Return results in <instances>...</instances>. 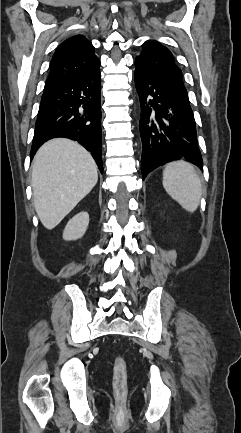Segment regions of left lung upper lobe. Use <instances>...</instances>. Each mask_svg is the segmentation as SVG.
Segmentation results:
<instances>
[{
	"label": "left lung upper lobe",
	"instance_id": "1",
	"mask_svg": "<svg viewBox=\"0 0 241 433\" xmlns=\"http://www.w3.org/2000/svg\"><path fill=\"white\" fill-rule=\"evenodd\" d=\"M135 66L136 71L163 82L191 109L182 71L166 47L154 40L146 41L141 54L135 59Z\"/></svg>",
	"mask_w": 241,
	"mask_h": 433
}]
</instances>
